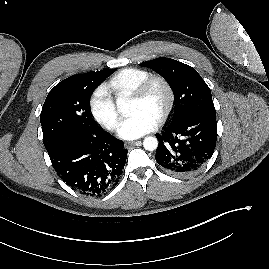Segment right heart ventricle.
I'll return each instance as SVG.
<instances>
[{
	"label": "right heart ventricle",
	"instance_id": "right-heart-ventricle-1",
	"mask_svg": "<svg viewBox=\"0 0 269 269\" xmlns=\"http://www.w3.org/2000/svg\"><path fill=\"white\" fill-rule=\"evenodd\" d=\"M150 75V72L145 69L127 67L113 75L106 87L118 98L128 97Z\"/></svg>",
	"mask_w": 269,
	"mask_h": 269
}]
</instances>
